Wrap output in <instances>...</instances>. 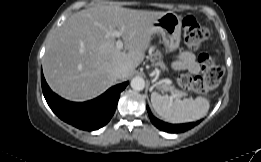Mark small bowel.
I'll list each match as a JSON object with an SVG mask.
<instances>
[{"instance_id": "c3829d8e", "label": "small bowel", "mask_w": 261, "mask_h": 162, "mask_svg": "<svg viewBox=\"0 0 261 162\" xmlns=\"http://www.w3.org/2000/svg\"><path fill=\"white\" fill-rule=\"evenodd\" d=\"M172 66L176 70H188L194 74L199 73L201 70V66L196 61L194 54L189 51L180 52L175 57Z\"/></svg>"}]
</instances>
